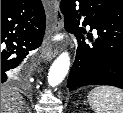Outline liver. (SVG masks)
I'll return each instance as SVG.
<instances>
[{"label": "liver", "instance_id": "obj_1", "mask_svg": "<svg viewBox=\"0 0 123 113\" xmlns=\"http://www.w3.org/2000/svg\"><path fill=\"white\" fill-rule=\"evenodd\" d=\"M24 105L17 90L11 87L1 88V113H24Z\"/></svg>", "mask_w": 123, "mask_h": 113}]
</instances>
